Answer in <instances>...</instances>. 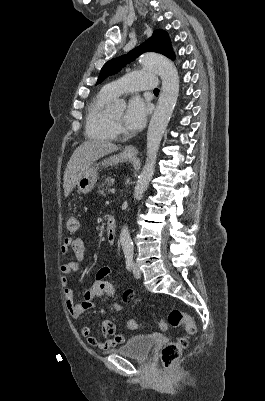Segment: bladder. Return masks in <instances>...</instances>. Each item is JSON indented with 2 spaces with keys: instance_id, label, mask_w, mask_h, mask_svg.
<instances>
[{
  "instance_id": "bladder-1",
  "label": "bladder",
  "mask_w": 265,
  "mask_h": 401,
  "mask_svg": "<svg viewBox=\"0 0 265 401\" xmlns=\"http://www.w3.org/2000/svg\"><path fill=\"white\" fill-rule=\"evenodd\" d=\"M154 343L155 339L152 336H136L131 338L124 346L108 350V352H118L125 357L145 358Z\"/></svg>"
}]
</instances>
